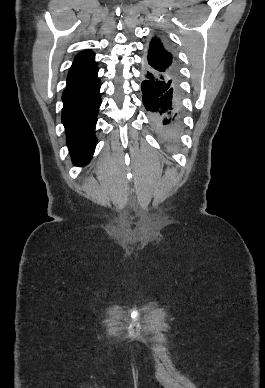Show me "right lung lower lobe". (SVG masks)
Returning <instances> with one entry per match:
<instances>
[{
    "label": "right lung lower lobe",
    "mask_w": 265,
    "mask_h": 388,
    "mask_svg": "<svg viewBox=\"0 0 265 388\" xmlns=\"http://www.w3.org/2000/svg\"><path fill=\"white\" fill-rule=\"evenodd\" d=\"M100 87V79L95 74L83 80L67 82L62 94V123L72 161L77 166L89 162L95 150Z\"/></svg>",
    "instance_id": "obj_1"
}]
</instances>
